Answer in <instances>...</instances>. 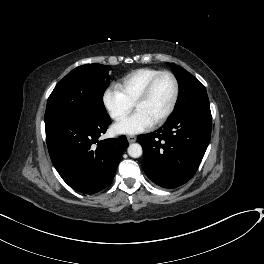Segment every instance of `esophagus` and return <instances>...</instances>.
Returning <instances> with one entry per match:
<instances>
[{
	"instance_id": "34e87169",
	"label": "esophagus",
	"mask_w": 264,
	"mask_h": 264,
	"mask_svg": "<svg viewBox=\"0 0 264 264\" xmlns=\"http://www.w3.org/2000/svg\"><path fill=\"white\" fill-rule=\"evenodd\" d=\"M127 140L129 143H133L136 141V136L129 135V136H127Z\"/></svg>"
}]
</instances>
